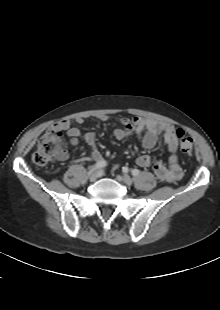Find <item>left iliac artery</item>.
<instances>
[{
  "label": "left iliac artery",
  "instance_id": "44dca946",
  "mask_svg": "<svg viewBox=\"0 0 220 310\" xmlns=\"http://www.w3.org/2000/svg\"><path fill=\"white\" fill-rule=\"evenodd\" d=\"M139 173H140V171L138 169H133L132 170V175L133 176H137V175H139Z\"/></svg>",
  "mask_w": 220,
  "mask_h": 310
}]
</instances>
